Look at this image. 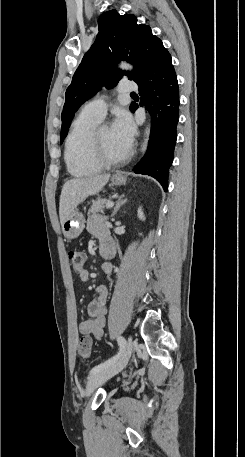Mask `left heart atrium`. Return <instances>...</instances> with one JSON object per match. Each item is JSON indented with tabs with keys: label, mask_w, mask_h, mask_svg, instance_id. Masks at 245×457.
<instances>
[{
	"label": "left heart atrium",
	"mask_w": 245,
	"mask_h": 457,
	"mask_svg": "<svg viewBox=\"0 0 245 457\" xmlns=\"http://www.w3.org/2000/svg\"><path fill=\"white\" fill-rule=\"evenodd\" d=\"M117 140L127 149L131 146L134 137V125L126 112H119L111 128Z\"/></svg>",
	"instance_id": "1"
}]
</instances>
